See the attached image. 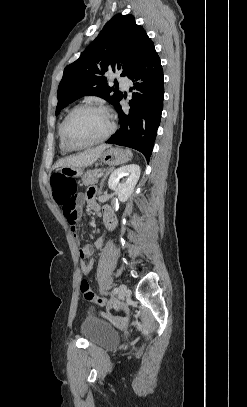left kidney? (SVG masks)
Listing matches in <instances>:
<instances>
[{"mask_svg": "<svg viewBox=\"0 0 247 407\" xmlns=\"http://www.w3.org/2000/svg\"><path fill=\"white\" fill-rule=\"evenodd\" d=\"M140 172L139 165L129 164L114 170L110 175L108 186L117 193L121 202H125L130 198L139 180ZM123 177H126V181L120 182Z\"/></svg>", "mask_w": 247, "mask_h": 407, "instance_id": "obj_1", "label": "left kidney"}]
</instances>
